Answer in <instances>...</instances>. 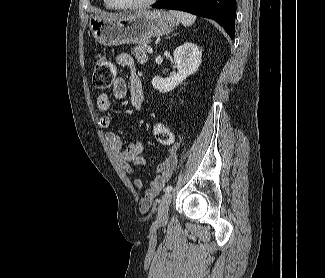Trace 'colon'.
<instances>
[{
  "label": "colon",
  "mask_w": 325,
  "mask_h": 278,
  "mask_svg": "<svg viewBox=\"0 0 325 278\" xmlns=\"http://www.w3.org/2000/svg\"><path fill=\"white\" fill-rule=\"evenodd\" d=\"M114 76L115 70L112 62L105 57L98 58L94 66L92 77L94 88L98 90H107L113 84ZM153 134L161 144L170 145L174 140L173 133L169 127L160 122L154 124ZM146 208L147 206H145V209Z\"/></svg>",
  "instance_id": "colon-1"
}]
</instances>
